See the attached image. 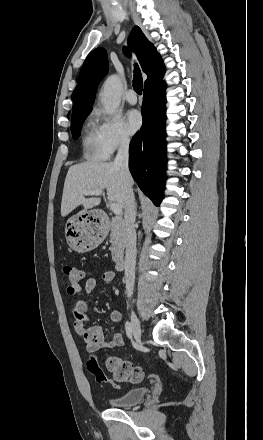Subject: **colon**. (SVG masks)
<instances>
[{
	"instance_id": "obj_1",
	"label": "colon",
	"mask_w": 263,
	"mask_h": 440,
	"mask_svg": "<svg viewBox=\"0 0 263 440\" xmlns=\"http://www.w3.org/2000/svg\"><path fill=\"white\" fill-rule=\"evenodd\" d=\"M63 273L71 288H79L85 278L84 270L75 265H65ZM106 365L114 381L138 383L143 379L142 369L129 361L117 357H109ZM88 368L98 383H111V380L100 369L95 359L92 358L88 362Z\"/></svg>"
}]
</instances>
